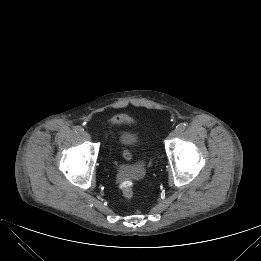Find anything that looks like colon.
<instances>
[{
  "instance_id": "obj_1",
  "label": "colon",
  "mask_w": 261,
  "mask_h": 261,
  "mask_svg": "<svg viewBox=\"0 0 261 261\" xmlns=\"http://www.w3.org/2000/svg\"><path fill=\"white\" fill-rule=\"evenodd\" d=\"M119 189L125 199H132L134 196V183L126 174L118 177Z\"/></svg>"
}]
</instances>
